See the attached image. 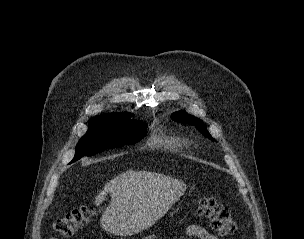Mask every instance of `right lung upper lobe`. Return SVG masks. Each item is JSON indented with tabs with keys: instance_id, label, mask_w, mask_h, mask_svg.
Segmentation results:
<instances>
[{
	"instance_id": "obj_1",
	"label": "right lung upper lobe",
	"mask_w": 304,
	"mask_h": 239,
	"mask_svg": "<svg viewBox=\"0 0 304 239\" xmlns=\"http://www.w3.org/2000/svg\"><path fill=\"white\" fill-rule=\"evenodd\" d=\"M128 113H108V114H103L94 118H116V117H122Z\"/></svg>"
}]
</instances>
